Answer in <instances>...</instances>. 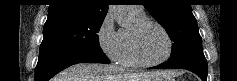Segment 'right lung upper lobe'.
Wrapping results in <instances>:
<instances>
[{"label": "right lung upper lobe", "mask_w": 237, "mask_h": 81, "mask_svg": "<svg viewBox=\"0 0 237 81\" xmlns=\"http://www.w3.org/2000/svg\"><path fill=\"white\" fill-rule=\"evenodd\" d=\"M108 0H53L48 19L59 16H86L105 18Z\"/></svg>", "instance_id": "cb5924a9"}]
</instances>
